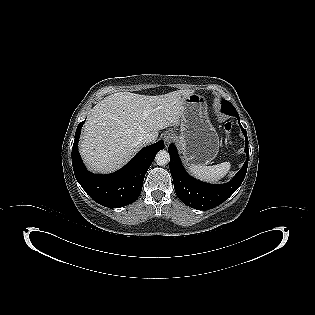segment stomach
I'll return each instance as SVG.
<instances>
[{"label": "stomach", "mask_w": 315, "mask_h": 315, "mask_svg": "<svg viewBox=\"0 0 315 315\" xmlns=\"http://www.w3.org/2000/svg\"><path fill=\"white\" fill-rule=\"evenodd\" d=\"M180 128L176 143L187 165H205L217 156L219 137L208 118L204 96L194 93L185 100Z\"/></svg>", "instance_id": "stomach-1"}]
</instances>
